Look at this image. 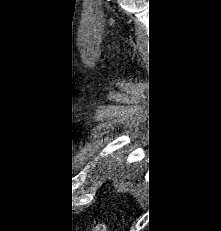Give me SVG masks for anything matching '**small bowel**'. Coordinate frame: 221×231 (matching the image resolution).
Wrapping results in <instances>:
<instances>
[{
    "label": "small bowel",
    "mask_w": 221,
    "mask_h": 231,
    "mask_svg": "<svg viewBox=\"0 0 221 231\" xmlns=\"http://www.w3.org/2000/svg\"><path fill=\"white\" fill-rule=\"evenodd\" d=\"M93 231H106L105 225L99 224V225L95 226Z\"/></svg>",
    "instance_id": "obj_1"
}]
</instances>
